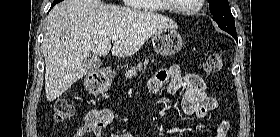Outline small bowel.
I'll use <instances>...</instances> for the list:
<instances>
[{
    "label": "small bowel",
    "mask_w": 280,
    "mask_h": 137,
    "mask_svg": "<svg viewBox=\"0 0 280 137\" xmlns=\"http://www.w3.org/2000/svg\"><path fill=\"white\" fill-rule=\"evenodd\" d=\"M165 83H168V95H173L184 88L181 105L187 116L205 119L218 111L217 101L206 93V82L202 76L195 73L183 74L180 66L174 64L169 68L158 70L149 81L148 88L151 92L157 93ZM114 117L115 114L110 109L92 110L87 114L85 124L76 131L74 137H85L87 133L101 137V131L114 120ZM225 123L229 121L221 119L219 125ZM113 137L131 136L122 134L113 135Z\"/></svg>",
    "instance_id": "small-bowel-1"
}]
</instances>
